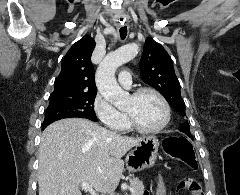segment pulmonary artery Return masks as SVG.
I'll return each instance as SVG.
<instances>
[{
    "instance_id": "obj_1",
    "label": "pulmonary artery",
    "mask_w": 240,
    "mask_h": 195,
    "mask_svg": "<svg viewBox=\"0 0 240 195\" xmlns=\"http://www.w3.org/2000/svg\"><path fill=\"white\" fill-rule=\"evenodd\" d=\"M118 80L120 84L125 88H130L132 85V78L130 77L129 71H122Z\"/></svg>"
}]
</instances>
